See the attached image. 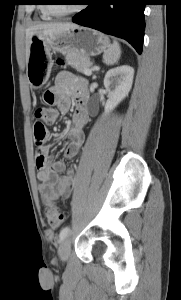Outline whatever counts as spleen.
<instances>
[{
  "label": "spleen",
  "instance_id": "1",
  "mask_svg": "<svg viewBox=\"0 0 181 300\" xmlns=\"http://www.w3.org/2000/svg\"><path fill=\"white\" fill-rule=\"evenodd\" d=\"M121 56V48L119 43L114 40L112 45L104 52L103 61L106 65H114Z\"/></svg>",
  "mask_w": 181,
  "mask_h": 300
}]
</instances>
